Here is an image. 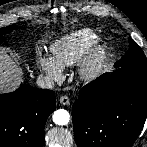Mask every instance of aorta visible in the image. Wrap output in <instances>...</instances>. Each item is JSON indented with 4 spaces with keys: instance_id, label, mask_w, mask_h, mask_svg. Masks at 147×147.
I'll use <instances>...</instances> for the list:
<instances>
[{
    "instance_id": "762f6f07",
    "label": "aorta",
    "mask_w": 147,
    "mask_h": 147,
    "mask_svg": "<svg viewBox=\"0 0 147 147\" xmlns=\"http://www.w3.org/2000/svg\"><path fill=\"white\" fill-rule=\"evenodd\" d=\"M70 121L69 112L65 109H58L53 114V122L57 125H67Z\"/></svg>"
}]
</instances>
